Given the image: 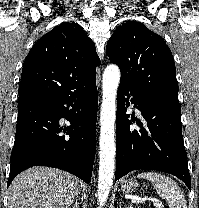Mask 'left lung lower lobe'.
<instances>
[{
	"instance_id": "left-lung-lower-lobe-1",
	"label": "left lung lower lobe",
	"mask_w": 199,
	"mask_h": 208,
	"mask_svg": "<svg viewBox=\"0 0 199 208\" xmlns=\"http://www.w3.org/2000/svg\"><path fill=\"white\" fill-rule=\"evenodd\" d=\"M130 96L144 119L145 126L137 122L140 129L130 127V115L126 114ZM138 169L173 174L191 189L181 105L150 96L121 80L117 92L115 180Z\"/></svg>"
}]
</instances>
